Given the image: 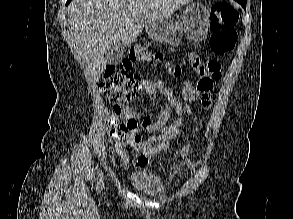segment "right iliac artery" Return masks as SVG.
<instances>
[{"instance_id":"82829eb1","label":"right iliac artery","mask_w":293,"mask_h":219,"mask_svg":"<svg viewBox=\"0 0 293 219\" xmlns=\"http://www.w3.org/2000/svg\"><path fill=\"white\" fill-rule=\"evenodd\" d=\"M103 180H104V175H103L102 172H100L98 174V182H97V186H96V190L98 192H100L102 190V188H103Z\"/></svg>"}]
</instances>
